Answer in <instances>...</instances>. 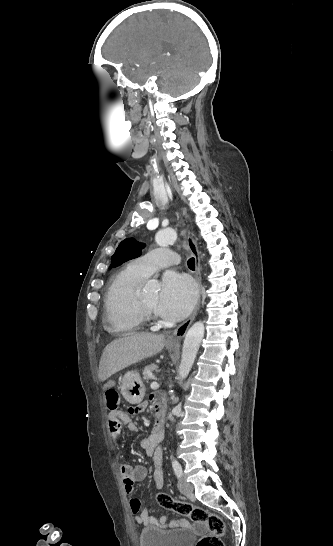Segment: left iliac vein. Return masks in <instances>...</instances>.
<instances>
[{"label": "left iliac vein", "instance_id": "4c4485c4", "mask_svg": "<svg viewBox=\"0 0 333 546\" xmlns=\"http://www.w3.org/2000/svg\"><path fill=\"white\" fill-rule=\"evenodd\" d=\"M178 488L181 493L189 495L193 492V486L190 483H187L184 479L178 481Z\"/></svg>", "mask_w": 333, "mask_h": 546}]
</instances>
